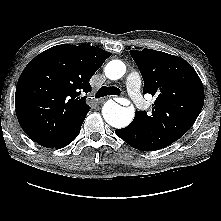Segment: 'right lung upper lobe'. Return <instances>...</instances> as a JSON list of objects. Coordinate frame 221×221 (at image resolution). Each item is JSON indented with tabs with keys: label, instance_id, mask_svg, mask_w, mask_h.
<instances>
[{
	"label": "right lung upper lobe",
	"instance_id": "cb5924a9",
	"mask_svg": "<svg viewBox=\"0 0 221 221\" xmlns=\"http://www.w3.org/2000/svg\"><path fill=\"white\" fill-rule=\"evenodd\" d=\"M111 53L89 45H57L36 56L23 70L16 87L20 126L47 148L70 138L89 112V80Z\"/></svg>",
	"mask_w": 221,
	"mask_h": 221
}]
</instances>
